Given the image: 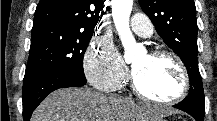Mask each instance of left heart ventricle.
Instances as JSON below:
<instances>
[{
    "instance_id": "b2bd125f",
    "label": "left heart ventricle",
    "mask_w": 217,
    "mask_h": 121,
    "mask_svg": "<svg viewBox=\"0 0 217 121\" xmlns=\"http://www.w3.org/2000/svg\"><path fill=\"white\" fill-rule=\"evenodd\" d=\"M131 67L142 90L155 98L169 99L180 89L179 70L169 58L140 54L131 61Z\"/></svg>"
}]
</instances>
